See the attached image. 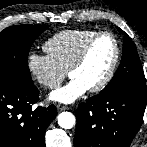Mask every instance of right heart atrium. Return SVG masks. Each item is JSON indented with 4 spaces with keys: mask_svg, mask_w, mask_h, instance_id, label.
Here are the masks:
<instances>
[{
    "mask_svg": "<svg viewBox=\"0 0 147 147\" xmlns=\"http://www.w3.org/2000/svg\"><path fill=\"white\" fill-rule=\"evenodd\" d=\"M26 66L32 79L46 89L57 87L67 73L48 54L34 51L27 54Z\"/></svg>",
    "mask_w": 147,
    "mask_h": 147,
    "instance_id": "1",
    "label": "right heart atrium"
}]
</instances>
